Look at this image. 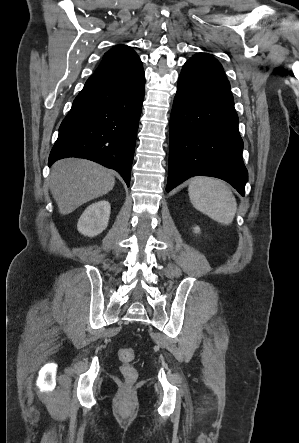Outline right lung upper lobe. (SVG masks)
<instances>
[{"label": "right lung upper lobe", "mask_w": 299, "mask_h": 443, "mask_svg": "<svg viewBox=\"0 0 299 443\" xmlns=\"http://www.w3.org/2000/svg\"><path fill=\"white\" fill-rule=\"evenodd\" d=\"M142 68V62L134 50L126 46H117L106 52L94 72L97 75L135 72Z\"/></svg>", "instance_id": "cb5924a9"}]
</instances>
